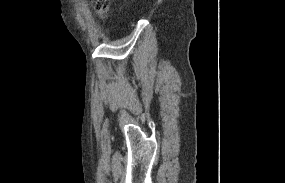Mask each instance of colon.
I'll list each match as a JSON object with an SVG mask.
<instances>
[{
  "mask_svg": "<svg viewBox=\"0 0 285 183\" xmlns=\"http://www.w3.org/2000/svg\"><path fill=\"white\" fill-rule=\"evenodd\" d=\"M93 7L96 13L103 18L108 11L109 0H93Z\"/></svg>",
  "mask_w": 285,
  "mask_h": 183,
  "instance_id": "1",
  "label": "colon"
}]
</instances>
